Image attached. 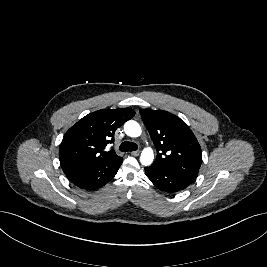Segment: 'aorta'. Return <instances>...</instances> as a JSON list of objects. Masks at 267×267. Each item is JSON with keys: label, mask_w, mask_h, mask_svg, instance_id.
Returning <instances> with one entry per match:
<instances>
[{"label": "aorta", "mask_w": 267, "mask_h": 267, "mask_svg": "<svg viewBox=\"0 0 267 267\" xmlns=\"http://www.w3.org/2000/svg\"><path fill=\"white\" fill-rule=\"evenodd\" d=\"M124 131L125 133L130 137H138L141 135L142 130L140 125L133 120H129L124 125ZM154 160V153L152 148L147 147L143 149L141 156H140V162L144 166H149L152 164Z\"/></svg>", "instance_id": "762f6f07"}]
</instances>
